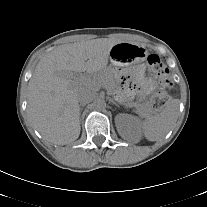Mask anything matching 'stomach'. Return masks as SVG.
Returning a JSON list of instances; mask_svg holds the SVG:
<instances>
[{
    "label": "stomach",
    "instance_id": "obj_1",
    "mask_svg": "<svg viewBox=\"0 0 207 207\" xmlns=\"http://www.w3.org/2000/svg\"><path fill=\"white\" fill-rule=\"evenodd\" d=\"M147 56V51L140 45L132 43H118L110 51L111 63L116 67L131 66L141 64ZM126 105L130 102L128 96L123 95Z\"/></svg>",
    "mask_w": 207,
    "mask_h": 207
}]
</instances>
